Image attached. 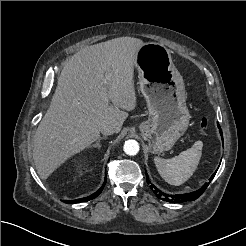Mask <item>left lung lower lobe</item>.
<instances>
[{
    "label": "left lung lower lobe",
    "instance_id": "left-lung-lower-lobe-1",
    "mask_svg": "<svg viewBox=\"0 0 246 246\" xmlns=\"http://www.w3.org/2000/svg\"><path fill=\"white\" fill-rule=\"evenodd\" d=\"M218 128H219L220 134H221L222 139H223L222 131H221V128L219 125H218ZM215 174H216V172L210 177L209 182L205 183L199 190L192 192V193L170 195V194L163 193L162 191L157 189L153 184L150 185V188L153 189L154 193L156 194V196L158 198H160L164 201H167V202L193 201V200L197 199L205 191V189L208 187L209 183L211 182V180L213 179ZM146 181L148 184L151 183L147 174H146Z\"/></svg>",
    "mask_w": 246,
    "mask_h": 246
}]
</instances>
